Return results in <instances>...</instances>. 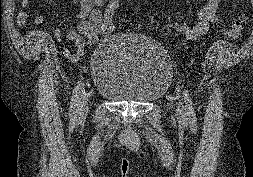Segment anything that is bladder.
Segmentation results:
<instances>
[{
  "mask_svg": "<svg viewBox=\"0 0 253 177\" xmlns=\"http://www.w3.org/2000/svg\"><path fill=\"white\" fill-rule=\"evenodd\" d=\"M91 76L99 95L117 103H150L167 90L172 65L155 40L131 34H112L95 50Z\"/></svg>",
  "mask_w": 253,
  "mask_h": 177,
  "instance_id": "31cf9c89",
  "label": "bladder"
}]
</instances>
